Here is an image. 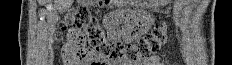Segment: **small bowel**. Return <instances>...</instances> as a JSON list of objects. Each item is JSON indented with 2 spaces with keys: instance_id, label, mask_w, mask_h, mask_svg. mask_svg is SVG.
I'll return each instance as SVG.
<instances>
[{
  "instance_id": "1",
  "label": "small bowel",
  "mask_w": 232,
  "mask_h": 65,
  "mask_svg": "<svg viewBox=\"0 0 232 65\" xmlns=\"http://www.w3.org/2000/svg\"><path fill=\"white\" fill-rule=\"evenodd\" d=\"M118 21H132V23H118ZM106 28L105 37H122L121 43L125 45H136L138 37H146L151 30L152 20L150 12H107L103 21ZM81 36V31L70 29L68 31V43L64 46L63 54L66 62L76 61V40ZM168 60L158 54H152L142 58L134 64L121 62L112 65H164Z\"/></svg>"
}]
</instances>
